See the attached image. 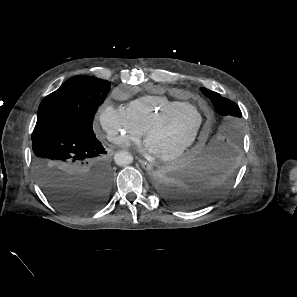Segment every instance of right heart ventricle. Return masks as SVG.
Here are the masks:
<instances>
[{
  "label": "right heart ventricle",
  "mask_w": 297,
  "mask_h": 297,
  "mask_svg": "<svg viewBox=\"0 0 297 297\" xmlns=\"http://www.w3.org/2000/svg\"><path fill=\"white\" fill-rule=\"evenodd\" d=\"M185 103L187 102L171 99L165 95H145L129 102L125 111L131 121L143 132L157 114Z\"/></svg>",
  "instance_id": "right-heart-ventricle-1"
}]
</instances>
